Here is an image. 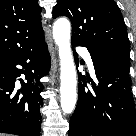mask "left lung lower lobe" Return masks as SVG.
Listing matches in <instances>:
<instances>
[{"label": "left lung lower lobe", "instance_id": "1", "mask_svg": "<svg viewBox=\"0 0 136 136\" xmlns=\"http://www.w3.org/2000/svg\"><path fill=\"white\" fill-rule=\"evenodd\" d=\"M72 45L84 46L76 41ZM87 49L99 84L88 86L85 76L78 73L79 97L69 136H136L129 65Z\"/></svg>", "mask_w": 136, "mask_h": 136}]
</instances>
